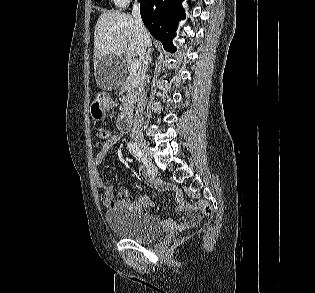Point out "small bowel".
<instances>
[{
	"label": "small bowel",
	"mask_w": 315,
	"mask_h": 293,
	"mask_svg": "<svg viewBox=\"0 0 315 293\" xmlns=\"http://www.w3.org/2000/svg\"><path fill=\"white\" fill-rule=\"evenodd\" d=\"M122 139L121 135L109 136L106 138L104 143L102 144L101 149L97 152L94 157V180L98 189L103 191V195L101 198V202L103 206L109 209L121 208V207H129L139 212H146V209L152 205V201L148 196H140L135 201L133 195L127 190L123 188L119 190L118 195L122 197V200L114 199V186L109 185L106 186L100 176L99 168L104 162L105 158L108 156L112 147L120 142ZM152 185L160 190H171L174 193V201L176 203L175 210L179 213H183V217L180 222H176L172 219H166L165 224L168 228L172 230H181L186 227L193 226L200 220V214L194 207L186 202L183 198L182 192L173 186L172 184L163 182L158 179L151 180Z\"/></svg>",
	"instance_id": "c3829d8e"
}]
</instances>
